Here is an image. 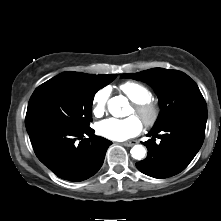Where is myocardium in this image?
Here are the masks:
<instances>
[{
  "label": "myocardium",
  "instance_id": "myocardium-1",
  "mask_svg": "<svg viewBox=\"0 0 221 221\" xmlns=\"http://www.w3.org/2000/svg\"><path fill=\"white\" fill-rule=\"evenodd\" d=\"M133 109L147 127L154 126L160 117L159 106L151 100L133 103Z\"/></svg>",
  "mask_w": 221,
  "mask_h": 221
}]
</instances>
